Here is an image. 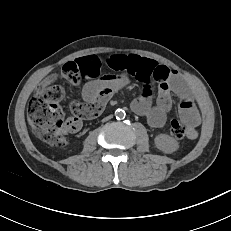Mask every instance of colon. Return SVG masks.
Here are the masks:
<instances>
[{"instance_id": "1", "label": "colon", "mask_w": 231, "mask_h": 231, "mask_svg": "<svg viewBox=\"0 0 231 231\" xmlns=\"http://www.w3.org/2000/svg\"><path fill=\"white\" fill-rule=\"evenodd\" d=\"M64 95L65 90L62 86L43 84L27 108L32 133L42 141L58 147L68 143L65 135L67 122H64V112L60 106ZM170 133L174 138L182 139L187 134V127L180 121L173 120Z\"/></svg>"}]
</instances>
